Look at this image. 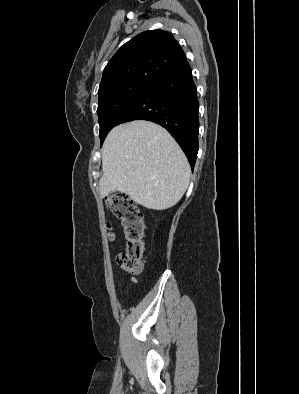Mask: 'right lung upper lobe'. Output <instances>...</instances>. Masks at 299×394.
I'll list each match as a JSON object with an SVG mask.
<instances>
[{
	"instance_id": "right-lung-upper-lobe-1",
	"label": "right lung upper lobe",
	"mask_w": 299,
	"mask_h": 394,
	"mask_svg": "<svg viewBox=\"0 0 299 394\" xmlns=\"http://www.w3.org/2000/svg\"><path fill=\"white\" fill-rule=\"evenodd\" d=\"M184 61L185 53L170 33L142 32L121 46L108 62L98 94L126 83L152 84Z\"/></svg>"
}]
</instances>
